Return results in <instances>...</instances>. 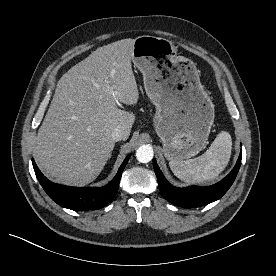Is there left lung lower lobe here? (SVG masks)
Wrapping results in <instances>:
<instances>
[{
	"label": "left lung lower lobe",
	"mask_w": 276,
	"mask_h": 276,
	"mask_svg": "<svg viewBox=\"0 0 276 276\" xmlns=\"http://www.w3.org/2000/svg\"><path fill=\"white\" fill-rule=\"evenodd\" d=\"M242 159V152L239 155L233 170L220 182L208 186H190L187 188H176L169 184L159 169L156 160H153V167L158 179V185L162 196L170 203L184 207H200L212 203L221 198L233 184L239 171Z\"/></svg>",
	"instance_id": "1"
}]
</instances>
